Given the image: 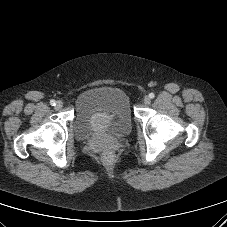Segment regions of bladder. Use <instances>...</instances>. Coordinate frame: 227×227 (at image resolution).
Wrapping results in <instances>:
<instances>
[{
    "mask_svg": "<svg viewBox=\"0 0 227 227\" xmlns=\"http://www.w3.org/2000/svg\"><path fill=\"white\" fill-rule=\"evenodd\" d=\"M132 128L129 99L112 86L89 88L76 99L74 133L80 140L122 137Z\"/></svg>",
    "mask_w": 227,
    "mask_h": 227,
    "instance_id": "bladder-1",
    "label": "bladder"
}]
</instances>
